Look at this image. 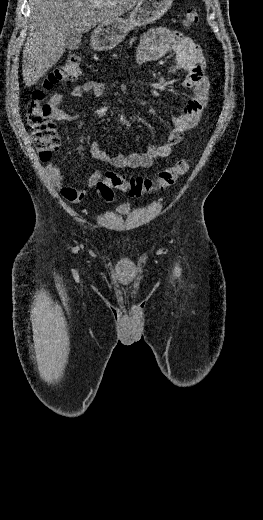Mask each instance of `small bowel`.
Returning a JSON list of instances; mask_svg holds the SVG:
<instances>
[{"label":"small bowel","instance_id":"c3829d8e","mask_svg":"<svg viewBox=\"0 0 263 520\" xmlns=\"http://www.w3.org/2000/svg\"><path fill=\"white\" fill-rule=\"evenodd\" d=\"M168 54L175 55V64L170 72L176 73L183 70L187 73L184 86L192 93L191 98L184 107L183 112L172 120L173 129L167 140L159 146L150 145L142 153L111 156L102 149L97 142H91L89 150L91 156L98 162L109 164L115 168H150L158 158H164L171 154L174 146L179 144L186 131L194 128L200 121L202 112L207 104L210 82L205 75V63L202 52L196 43L179 31L158 27L148 30L141 39L135 53L136 63L157 61ZM106 91L105 84L88 80L70 90V95L83 98L85 94L100 96ZM64 95L56 93L49 98L51 116L57 121H75L78 115L68 113L62 108ZM46 169L54 186L60 194L69 202H81L86 192L84 189L66 185L60 167L49 162ZM102 179L100 172L93 173L87 181L88 187L96 186Z\"/></svg>","mask_w":263,"mask_h":520}]
</instances>
